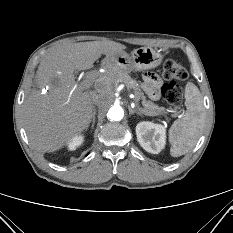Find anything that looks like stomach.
I'll return each instance as SVG.
<instances>
[{"label": "stomach", "mask_w": 233, "mask_h": 233, "mask_svg": "<svg viewBox=\"0 0 233 233\" xmlns=\"http://www.w3.org/2000/svg\"><path fill=\"white\" fill-rule=\"evenodd\" d=\"M163 55L151 47H141L130 54L125 51L111 57H106L105 62L111 68H118L125 72L144 71L161 64Z\"/></svg>", "instance_id": "0dacf381"}]
</instances>
